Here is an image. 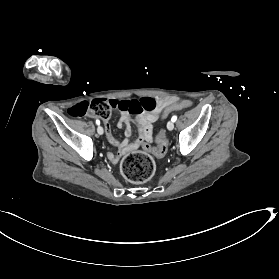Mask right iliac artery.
<instances>
[{"label":"right iliac artery","instance_id":"obj_1","mask_svg":"<svg viewBox=\"0 0 279 279\" xmlns=\"http://www.w3.org/2000/svg\"><path fill=\"white\" fill-rule=\"evenodd\" d=\"M96 124L99 125V124H100V121H99V120H96Z\"/></svg>","mask_w":279,"mask_h":279}]
</instances>
